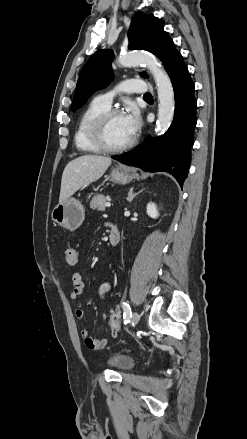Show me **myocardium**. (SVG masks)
Returning <instances> with one entry per match:
<instances>
[{"instance_id": "1", "label": "myocardium", "mask_w": 247, "mask_h": 439, "mask_svg": "<svg viewBox=\"0 0 247 439\" xmlns=\"http://www.w3.org/2000/svg\"><path fill=\"white\" fill-rule=\"evenodd\" d=\"M122 115V112L117 109H109L105 111L104 113L100 114L93 122L91 126V139L93 143L103 152L107 153H117L122 152L134 144V138H131L127 143L120 145V146H111L107 143L106 140V127L109 122V120L114 117Z\"/></svg>"}]
</instances>
